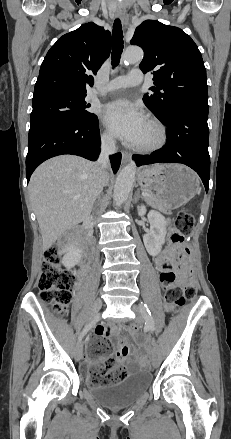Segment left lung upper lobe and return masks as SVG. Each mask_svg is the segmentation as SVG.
Returning a JSON list of instances; mask_svg holds the SVG:
<instances>
[{"label": "left lung upper lobe", "instance_id": "1", "mask_svg": "<svg viewBox=\"0 0 231 439\" xmlns=\"http://www.w3.org/2000/svg\"><path fill=\"white\" fill-rule=\"evenodd\" d=\"M130 43L144 50L140 69L154 75L152 94H145L143 101L159 120L183 102H207L208 86L202 56L183 30L146 20L136 28Z\"/></svg>", "mask_w": 231, "mask_h": 439}]
</instances>
